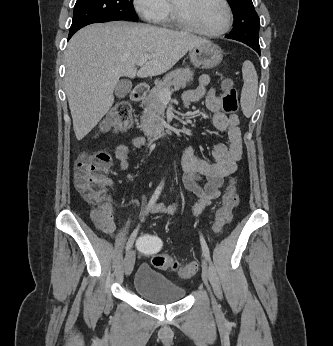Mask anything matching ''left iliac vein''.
<instances>
[{"label": "left iliac vein", "instance_id": "1", "mask_svg": "<svg viewBox=\"0 0 333 346\" xmlns=\"http://www.w3.org/2000/svg\"><path fill=\"white\" fill-rule=\"evenodd\" d=\"M209 272H210V269H209L207 261L205 259H202V278H203L204 283L207 286H209V284H208ZM212 306H213L214 311L216 313H219L220 308H219V305L216 302L214 297H212Z\"/></svg>", "mask_w": 333, "mask_h": 346}]
</instances>
